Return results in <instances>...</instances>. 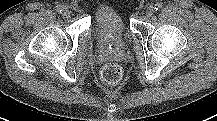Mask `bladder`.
Instances as JSON below:
<instances>
[{"mask_svg":"<svg viewBox=\"0 0 217 121\" xmlns=\"http://www.w3.org/2000/svg\"><path fill=\"white\" fill-rule=\"evenodd\" d=\"M94 31L105 51L111 52L123 49L127 37V28L116 9L112 7L99 9L94 18Z\"/></svg>","mask_w":217,"mask_h":121,"instance_id":"bladder-1","label":"bladder"}]
</instances>
